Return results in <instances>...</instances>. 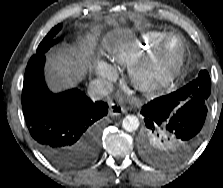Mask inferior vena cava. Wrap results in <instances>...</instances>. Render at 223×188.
Segmentation results:
<instances>
[{
	"label": "inferior vena cava",
	"mask_w": 223,
	"mask_h": 188,
	"mask_svg": "<svg viewBox=\"0 0 223 188\" xmlns=\"http://www.w3.org/2000/svg\"><path fill=\"white\" fill-rule=\"evenodd\" d=\"M112 91L113 84L104 79L92 80L88 86V94L93 101L102 99Z\"/></svg>",
	"instance_id": "1"
}]
</instances>
